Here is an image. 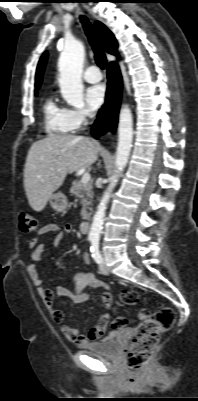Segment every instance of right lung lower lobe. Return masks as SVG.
I'll list each match as a JSON object with an SVG mask.
<instances>
[{
  "instance_id": "1",
  "label": "right lung lower lobe",
  "mask_w": 198,
  "mask_h": 401,
  "mask_svg": "<svg viewBox=\"0 0 198 401\" xmlns=\"http://www.w3.org/2000/svg\"><path fill=\"white\" fill-rule=\"evenodd\" d=\"M108 88L106 102L99 110L98 118L92 127V135L98 138L108 130L114 132L118 121L122 79L119 66L112 62L108 66Z\"/></svg>"
}]
</instances>
